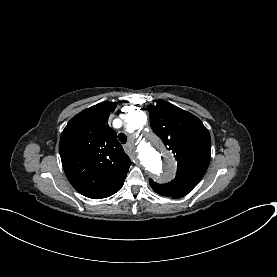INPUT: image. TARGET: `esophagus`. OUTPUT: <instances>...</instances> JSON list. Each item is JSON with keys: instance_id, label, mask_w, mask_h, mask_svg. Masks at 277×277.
Instances as JSON below:
<instances>
[{"instance_id": "34e87169", "label": "esophagus", "mask_w": 277, "mask_h": 277, "mask_svg": "<svg viewBox=\"0 0 277 277\" xmlns=\"http://www.w3.org/2000/svg\"><path fill=\"white\" fill-rule=\"evenodd\" d=\"M127 145H132V141L130 140ZM134 162L135 163H139L138 159L134 157Z\"/></svg>"}]
</instances>
